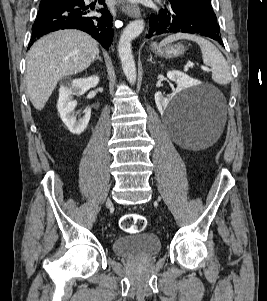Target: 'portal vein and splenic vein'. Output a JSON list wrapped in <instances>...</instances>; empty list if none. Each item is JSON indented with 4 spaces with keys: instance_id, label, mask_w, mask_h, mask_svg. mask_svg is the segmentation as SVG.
<instances>
[{
    "instance_id": "portal-vein-and-splenic-vein-1",
    "label": "portal vein and splenic vein",
    "mask_w": 267,
    "mask_h": 301,
    "mask_svg": "<svg viewBox=\"0 0 267 301\" xmlns=\"http://www.w3.org/2000/svg\"><path fill=\"white\" fill-rule=\"evenodd\" d=\"M186 67H193V63L192 62H189L187 63ZM201 68L204 70V71H210V69L206 66H201Z\"/></svg>"
}]
</instances>
